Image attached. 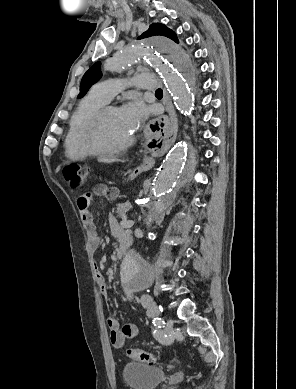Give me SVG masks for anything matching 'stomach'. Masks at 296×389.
Instances as JSON below:
<instances>
[{
	"mask_svg": "<svg viewBox=\"0 0 296 389\" xmlns=\"http://www.w3.org/2000/svg\"><path fill=\"white\" fill-rule=\"evenodd\" d=\"M128 178L131 184H136L139 178V171L137 169H130L128 171Z\"/></svg>",
	"mask_w": 296,
	"mask_h": 389,
	"instance_id": "obj_1",
	"label": "stomach"
}]
</instances>
